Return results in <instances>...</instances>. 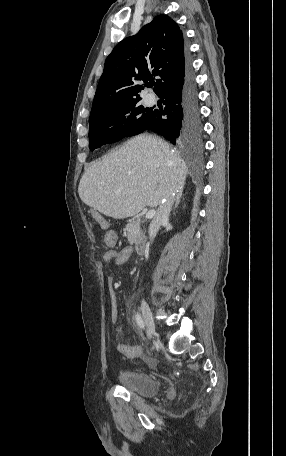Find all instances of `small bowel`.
Listing matches in <instances>:
<instances>
[{
  "label": "small bowel",
  "mask_w": 286,
  "mask_h": 456,
  "mask_svg": "<svg viewBox=\"0 0 286 456\" xmlns=\"http://www.w3.org/2000/svg\"><path fill=\"white\" fill-rule=\"evenodd\" d=\"M105 243L110 247V249L107 250L103 255V260L105 263L119 266L129 261L134 254V250L131 246L124 247L121 250L113 249V247L116 245V235L112 231H108L105 234ZM107 280L109 284L111 318L112 322L116 324L119 319L117 295L112 286V277L108 276ZM117 349L122 355L128 358H135L141 352V347L139 345L120 344L118 345Z\"/></svg>",
  "instance_id": "obj_1"
}]
</instances>
